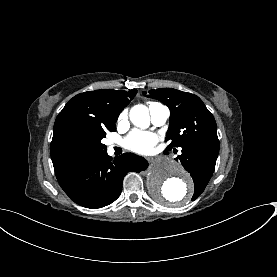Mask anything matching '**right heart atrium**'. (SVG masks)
Returning a JSON list of instances; mask_svg holds the SVG:
<instances>
[{
	"label": "right heart atrium",
	"instance_id": "right-heart-atrium-1",
	"mask_svg": "<svg viewBox=\"0 0 277 277\" xmlns=\"http://www.w3.org/2000/svg\"><path fill=\"white\" fill-rule=\"evenodd\" d=\"M125 122V117L124 115H120L118 117V125H122Z\"/></svg>",
	"mask_w": 277,
	"mask_h": 277
}]
</instances>
